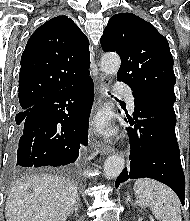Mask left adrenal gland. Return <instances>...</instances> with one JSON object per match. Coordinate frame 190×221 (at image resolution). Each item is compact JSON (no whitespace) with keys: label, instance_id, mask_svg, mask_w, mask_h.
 Segmentation results:
<instances>
[{"label":"left adrenal gland","instance_id":"a2214340","mask_svg":"<svg viewBox=\"0 0 190 221\" xmlns=\"http://www.w3.org/2000/svg\"><path fill=\"white\" fill-rule=\"evenodd\" d=\"M131 202L130 195L127 193L125 197V203Z\"/></svg>","mask_w":190,"mask_h":221}]
</instances>
